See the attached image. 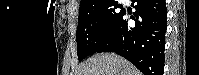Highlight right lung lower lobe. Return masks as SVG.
I'll return each mask as SVG.
<instances>
[{
	"label": "right lung lower lobe",
	"instance_id": "1",
	"mask_svg": "<svg viewBox=\"0 0 199 75\" xmlns=\"http://www.w3.org/2000/svg\"><path fill=\"white\" fill-rule=\"evenodd\" d=\"M131 27L123 11L108 40L95 52H116L144 75H163L167 9L165 0H132ZM133 5V4H132Z\"/></svg>",
	"mask_w": 199,
	"mask_h": 75
}]
</instances>
